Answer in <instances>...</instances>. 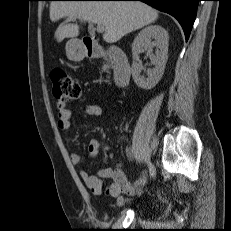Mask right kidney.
<instances>
[{
    "label": "right kidney",
    "instance_id": "right-kidney-1",
    "mask_svg": "<svg viewBox=\"0 0 231 231\" xmlns=\"http://www.w3.org/2000/svg\"><path fill=\"white\" fill-rule=\"evenodd\" d=\"M168 40L167 31L159 25L148 26L135 37L132 44V77L138 87L149 90L161 79L168 59ZM153 48H156L155 55L152 54ZM142 49L148 51L154 65V68L147 70V78L141 75L143 66L139 54Z\"/></svg>",
    "mask_w": 231,
    "mask_h": 231
}]
</instances>
